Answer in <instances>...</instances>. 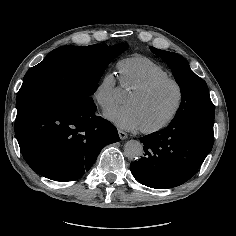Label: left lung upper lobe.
Instances as JSON below:
<instances>
[{"label": "left lung upper lobe", "mask_w": 236, "mask_h": 236, "mask_svg": "<svg viewBox=\"0 0 236 236\" xmlns=\"http://www.w3.org/2000/svg\"><path fill=\"white\" fill-rule=\"evenodd\" d=\"M150 49L167 62L181 89V104L172 121L187 117L214 118L215 109L206 82L191 70L187 60L174 52Z\"/></svg>", "instance_id": "1"}]
</instances>
